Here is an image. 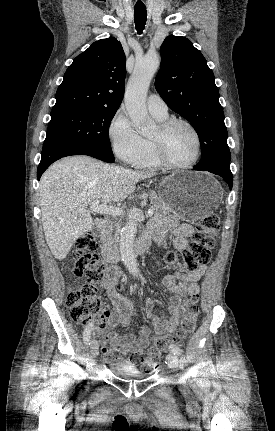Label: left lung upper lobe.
Masks as SVG:
<instances>
[{"label":"left lung upper lobe","instance_id":"5c2ea615","mask_svg":"<svg viewBox=\"0 0 275 431\" xmlns=\"http://www.w3.org/2000/svg\"><path fill=\"white\" fill-rule=\"evenodd\" d=\"M155 88L176 113L195 128L202 158L197 167L229 169L227 128L215 77L202 53L182 36H168L160 47Z\"/></svg>","mask_w":275,"mask_h":431}]
</instances>
